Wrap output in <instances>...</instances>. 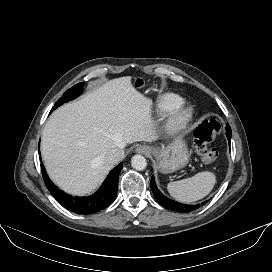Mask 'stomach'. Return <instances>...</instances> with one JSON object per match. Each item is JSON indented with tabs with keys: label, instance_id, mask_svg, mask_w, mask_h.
Listing matches in <instances>:
<instances>
[{
	"label": "stomach",
	"instance_id": "0dacf381",
	"mask_svg": "<svg viewBox=\"0 0 272 272\" xmlns=\"http://www.w3.org/2000/svg\"><path fill=\"white\" fill-rule=\"evenodd\" d=\"M153 153L162 173H172L185 167L190 156L187 144L180 136H175L168 145L154 149Z\"/></svg>",
	"mask_w": 272,
	"mask_h": 272
}]
</instances>
